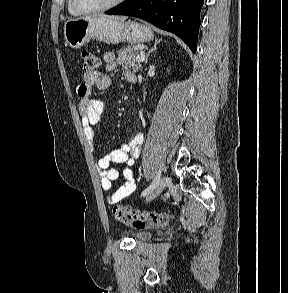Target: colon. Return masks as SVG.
<instances>
[{
    "mask_svg": "<svg viewBox=\"0 0 288 293\" xmlns=\"http://www.w3.org/2000/svg\"><path fill=\"white\" fill-rule=\"evenodd\" d=\"M81 59L85 74L93 73L99 65L98 57L90 51H83ZM112 214L116 220L135 228L162 227L170 219V216L167 214L139 212L123 205L114 206Z\"/></svg>",
    "mask_w": 288,
    "mask_h": 293,
    "instance_id": "5ec220e1",
    "label": "colon"
}]
</instances>
